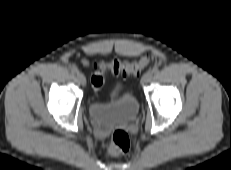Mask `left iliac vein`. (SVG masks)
<instances>
[{
  "mask_svg": "<svg viewBox=\"0 0 231 170\" xmlns=\"http://www.w3.org/2000/svg\"><path fill=\"white\" fill-rule=\"evenodd\" d=\"M152 76H153V74H152L151 71L146 72V73L143 75L142 79H141V84H142L143 86L147 85V84L151 81Z\"/></svg>",
  "mask_w": 231,
  "mask_h": 170,
  "instance_id": "left-iliac-vein-1",
  "label": "left iliac vein"
}]
</instances>
